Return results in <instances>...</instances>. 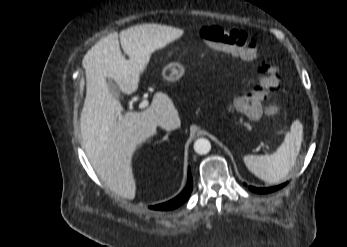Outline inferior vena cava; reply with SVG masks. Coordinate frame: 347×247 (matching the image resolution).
<instances>
[{"mask_svg":"<svg viewBox=\"0 0 347 247\" xmlns=\"http://www.w3.org/2000/svg\"><path fill=\"white\" fill-rule=\"evenodd\" d=\"M158 125L167 131H171V130L178 128L177 121L173 118H170V117L161 118L158 122Z\"/></svg>","mask_w":347,"mask_h":247,"instance_id":"1","label":"inferior vena cava"}]
</instances>
